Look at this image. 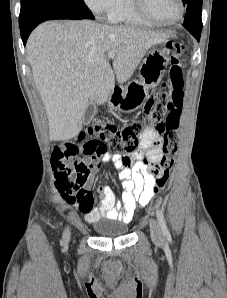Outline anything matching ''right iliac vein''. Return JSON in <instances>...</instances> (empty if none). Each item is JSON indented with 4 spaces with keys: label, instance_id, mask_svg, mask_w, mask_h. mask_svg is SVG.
<instances>
[{
    "label": "right iliac vein",
    "instance_id": "obj_1",
    "mask_svg": "<svg viewBox=\"0 0 227 298\" xmlns=\"http://www.w3.org/2000/svg\"><path fill=\"white\" fill-rule=\"evenodd\" d=\"M63 239H64V242L67 243L70 239V229L67 228L65 231H64V234H63Z\"/></svg>",
    "mask_w": 227,
    "mask_h": 298
}]
</instances>
